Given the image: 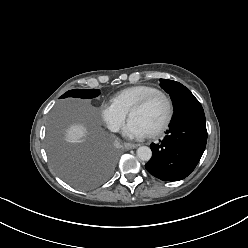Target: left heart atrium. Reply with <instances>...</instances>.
<instances>
[{
	"mask_svg": "<svg viewBox=\"0 0 248 248\" xmlns=\"http://www.w3.org/2000/svg\"><path fill=\"white\" fill-rule=\"evenodd\" d=\"M123 133L128 138L140 139L147 135L146 129L136 120L129 119L123 129Z\"/></svg>",
	"mask_w": 248,
	"mask_h": 248,
	"instance_id": "39dd6f15",
	"label": "left heart atrium"
}]
</instances>
